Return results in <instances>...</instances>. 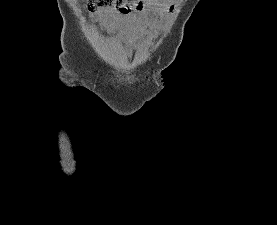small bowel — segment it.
Here are the masks:
<instances>
[{"label": "small bowel", "instance_id": "c3829d8e", "mask_svg": "<svg viewBox=\"0 0 277 225\" xmlns=\"http://www.w3.org/2000/svg\"><path fill=\"white\" fill-rule=\"evenodd\" d=\"M173 9V4L162 3L127 15L105 10L100 17L108 31H114L117 28L122 30L123 35L128 37V43L123 46L120 40L115 42L125 52H131L137 46L140 37L152 36Z\"/></svg>", "mask_w": 277, "mask_h": 225}]
</instances>
